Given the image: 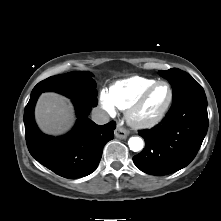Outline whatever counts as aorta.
Segmentation results:
<instances>
[{"label":"aorta","mask_w":221,"mask_h":221,"mask_svg":"<svg viewBox=\"0 0 221 221\" xmlns=\"http://www.w3.org/2000/svg\"><path fill=\"white\" fill-rule=\"evenodd\" d=\"M130 150L133 152H138L143 149L144 142L140 137H131L128 141Z\"/></svg>","instance_id":"1"}]
</instances>
